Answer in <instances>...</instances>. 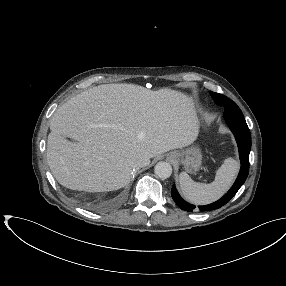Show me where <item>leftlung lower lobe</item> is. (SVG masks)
<instances>
[{
	"label": "left lung lower lobe",
	"mask_w": 286,
	"mask_h": 286,
	"mask_svg": "<svg viewBox=\"0 0 286 286\" xmlns=\"http://www.w3.org/2000/svg\"><path fill=\"white\" fill-rule=\"evenodd\" d=\"M225 121L233 132L239 149V156L241 161V169L238 177L231 187V189L218 201L204 206H196L184 201L178 194L175 186L171 190V195L175 203L185 211L192 212L193 210L210 211L218 209L225 205L239 190L245 182L249 172V153L251 150V134L243 115L239 114H224Z\"/></svg>",
	"instance_id": "left-lung-lower-lobe-1"
}]
</instances>
